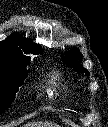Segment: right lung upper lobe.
<instances>
[{
  "label": "right lung upper lobe",
  "instance_id": "cb5924a9",
  "mask_svg": "<svg viewBox=\"0 0 108 127\" xmlns=\"http://www.w3.org/2000/svg\"><path fill=\"white\" fill-rule=\"evenodd\" d=\"M38 55L42 53L41 46L32 43L29 39L14 33L0 42V62H16L29 65L30 57L26 54Z\"/></svg>",
  "mask_w": 108,
  "mask_h": 127
}]
</instances>
